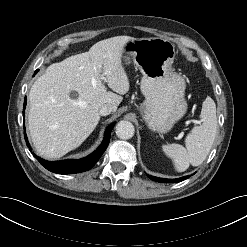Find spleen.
<instances>
[{"instance_id": "3e777b00", "label": "spleen", "mask_w": 247, "mask_h": 247, "mask_svg": "<svg viewBox=\"0 0 247 247\" xmlns=\"http://www.w3.org/2000/svg\"><path fill=\"white\" fill-rule=\"evenodd\" d=\"M200 117L202 124L193 127L186 136L185 147L175 143L162 146L178 172L185 171L190 164L199 166L211 150L217 133L216 105L212 98L204 100Z\"/></svg>"}]
</instances>
